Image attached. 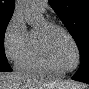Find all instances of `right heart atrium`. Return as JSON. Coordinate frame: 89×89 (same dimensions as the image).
I'll use <instances>...</instances> for the list:
<instances>
[{
  "mask_svg": "<svg viewBox=\"0 0 89 89\" xmlns=\"http://www.w3.org/2000/svg\"><path fill=\"white\" fill-rule=\"evenodd\" d=\"M6 57L17 64L29 43V31L23 17L15 12L9 20L4 33Z\"/></svg>",
  "mask_w": 89,
  "mask_h": 89,
  "instance_id": "d8ad5b80",
  "label": "right heart atrium"
}]
</instances>
